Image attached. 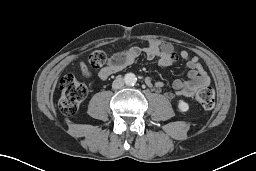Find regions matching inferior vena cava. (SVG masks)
<instances>
[{"label": "inferior vena cava", "instance_id": "obj_1", "mask_svg": "<svg viewBox=\"0 0 256 171\" xmlns=\"http://www.w3.org/2000/svg\"><path fill=\"white\" fill-rule=\"evenodd\" d=\"M124 86V79L121 76H117L112 83L113 89H121Z\"/></svg>", "mask_w": 256, "mask_h": 171}]
</instances>
